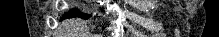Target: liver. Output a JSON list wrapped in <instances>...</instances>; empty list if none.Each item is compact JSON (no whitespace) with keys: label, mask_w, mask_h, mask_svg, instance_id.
<instances>
[{"label":"liver","mask_w":219,"mask_h":37,"mask_svg":"<svg viewBox=\"0 0 219 37\" xmlns=\"http://www.w3.org/2000/svg\"><path fill=\"white\" fill-rule=\"evenodd\" d=\"M66 27H67V31L69 33V35H73V36H69V37H89L88 33L86 30L81 28H72L73 26V22H67L65 23Z\"/></svg>","instance_id":"6515ba94"}]
</instances>
